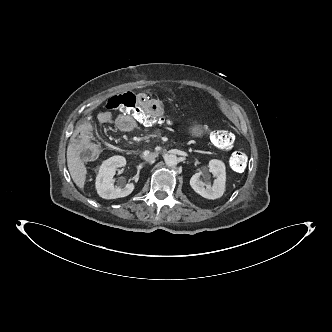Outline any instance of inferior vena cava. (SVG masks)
<instances>
[{"label": "inferior vena cava", "mask_w": 332, "mask_h": 332, "mask_svg": "<svg viewBox=\"0 0 332 332\" xmlns=\"http://www.w3.org/2000/svg\"><path fill=\"white\" fill-rule=\"evenodd\" d=\"M157 156H158V153H157V152H153V153H150V154H148V155H145V156H144V159H145L146 161H152V160H154Z\"/></svg>", "instance_id": "inferior-vena-cava-1"}]
</instances>
